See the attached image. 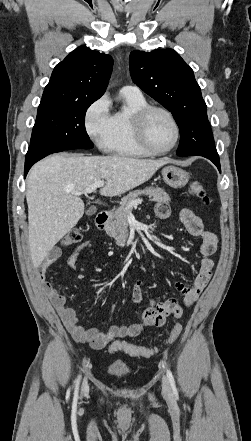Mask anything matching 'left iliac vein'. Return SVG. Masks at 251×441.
<instances>
[{
    "label": "left iliac vein",
    "mask_w": 251,
    "mask_h": 441,
    "mask_svg": "<svg viewBox=\"0 0 251 441\" xmlns=\"http://www.w3.org/2000/svg\"><path fill=\"white\" fill-rule=\"evenodd\" d=\"M162 392H163L164 396H166V397L172 396V391H171L169 381L165 376L162 378Z\"/></svg>",
    "instance_id": "4c4485c4"
}]
</instances>
